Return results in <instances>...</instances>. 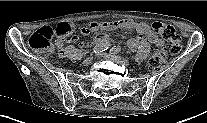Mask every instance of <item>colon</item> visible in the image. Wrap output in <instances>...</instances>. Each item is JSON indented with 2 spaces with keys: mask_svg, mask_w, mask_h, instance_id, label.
Segmentation results:
<instances>
[{
  "mask_svg": "<svg viewBox=\"0 0 207 123\" xmlns=\"http://www.w3.org/2000/svg\"><path fill=\"white\" fill-rule=\"evenodd\" d=\"M151 27L154 32L167 40V46L157 49L149 59V68L157 70L168 57L178 55L182 51L183 46L180 36L171 25L155 21L151 24ZM75 33L76 26L69 22L60 23L55 27H42L32 34L29 39V46L37 51L52 52L51 39L53 36H57L61 40L70 41L77 37Z\"/></svg>",
  "mask_w": 207,
  "mask_h": 123,
  "instance_id": "obj_1",
  "label": "colon"
}]
</instances>
